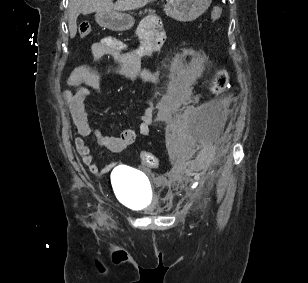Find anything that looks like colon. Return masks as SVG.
<instances>
[{"mask_svg": "<svg viewBox=\"0 0 308 283\" xmlns=\"http://www.w3.org/2000/svg\"><path fill=\"white\" fill-rule=\"evenodd\" d=\"M222 15V9L220 6L213 8L211 12V20L216 21ZM91 32V25L87 21H82L79 25V33L81 36H88ZM229 72L226 69H220L214 76L211 83V91L213 94H221L228 86ZM141 160L147 168H157L159 166V159L150 152H143L141 154Z\"/></svg>", "mask_w": 308, "mask_h": 283, "instance_id": "5ec220e1", "label": "colon"}]
</instances>
